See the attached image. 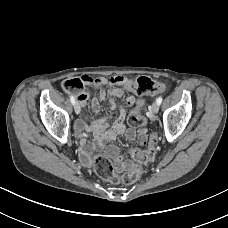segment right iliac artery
Wrapping results in <instances>:
<instances>
[{"instance_id":"right-iliac-artery-1","label":"right iliac artery","mask_w":228,"mask_h":228,"mask_svg":"<svg viewBox=\"0 0 228 228\" xmlns=\"http://www.w3.org/2000/svg\"><path fill=\"white\" fill-rule=\"evenodd\" d=\"M70 101L73 105L75 104V98L73 96H70Z\"/></svg>"}]
</instances>
